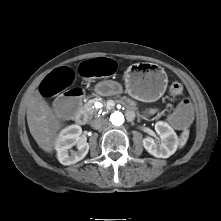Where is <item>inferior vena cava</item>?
I'll return each instance as SVG.
<instances>
[{
  "instance_id": "1",
  "label": "inferior vena cava",
  "mask_w": 221,
  "mask_h": 221,
  "mask_svg": "<svg viewBox=\"0 0 221 221\" xmlns=\"http://www.w3.org/2000/svg\"><path fill=\"white\" fill-rule=\"evenodd\" d=\"M108 125V121L103 118H95L91 121V126L96 130H101Z\"/></svg>"
}]
</instances>
